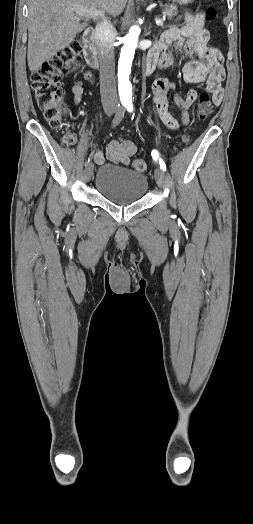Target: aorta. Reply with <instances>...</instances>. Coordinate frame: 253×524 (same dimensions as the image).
<instances>
[{"mask_svg": "<svg viewBox=\"0 0 253 524\" xmlns=\"http://www.w3.org/2000/svg\"><path fill=\"white\" fill-rule=\"evenodd\" d=\"M139 34L140 28L138 26H132L128 34L124 37V45L121 49L118 64V89L122 101L132 100V85L129 81V75L131 73V65Z\"/></svg>", "mask_w": 253, "mask_h": 524, "instance_id": "aorta-1", "label": "aorta"}]
</instances>
